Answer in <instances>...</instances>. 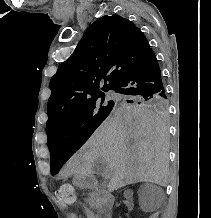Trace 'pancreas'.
Listing matches in <instances>:
<instances>
[{"label": "pancreas", "mask_w": 211, "mask_h": 218, "mask_svg": "<svg viewBox=\"0 0 211 218\" xmlns=\"http://www.w3.org/2000/svg\"><path fill=\"white\" fill-rule=\"evenodd\" d=\"M88 200L91 208H99L100 205L112 204V199H109L108 190H91Z\"/></svg>", "instance_id": "obj_1"}]
</instances>
